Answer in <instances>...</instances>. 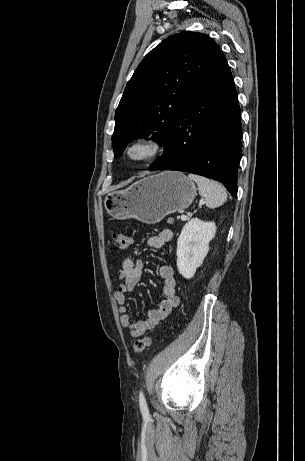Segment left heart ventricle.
Segmentation results:
<instances>
[{"mask_svg": "<svg viewBox=\"0 0 305 461\" xmlns=\"http://www.w3.org/2000/svg\"><path fill=\"white\" fill-rule=\"evenodd\" d=\"M141 152H142V151H141L140 149H138V150H135V151H134V154H135V155H138V154H140Z\"/></svg>", "mask_w": 305, "mask_h": 461, "instance_id": "left-heart-ventricle-1", "label": "left heart ventricle"}]
</instances>
